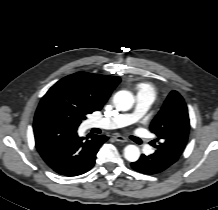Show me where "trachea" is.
Here are the masks:
<instances>
[{
    "label": "trachea",
    "instance_id": "1",
    "mask_svg": "<svg viewBox=\"0 0 218 210\" xmlns=\"http://www.w3.org/2000/svg\"><path fill=\"white\" fill-rule=\"evenodd\" d=\"M134 141L138 144H141V140L139 138L134 137Z\"/></svg>",
    "mask_w": 218,
    "mask_h": 210
}]
</instances>
